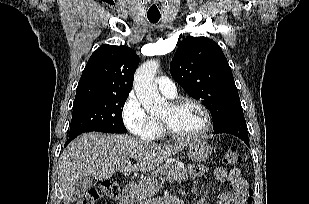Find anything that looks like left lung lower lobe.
I'll use <instances>...</instances> for the list:
<instances>
[{
	"mask_svg": "<svg viewBox=\"0 0 309 204\" xmlns=\"http://www.w3.org/2000/svg\"><path fill=\"white\" fill-rule=\"evenodd\" d=\"M213 133H228L242 139L249 146L247 125L244 116L229 119L220 126L214 128Z\"/></svg>",
	"mask_w": 309,
	"mask_h": 204,
	"instance_id": "left-lung-lower-lobe-1",
	"label": "left lung lower lobe"
}]
</instances>
